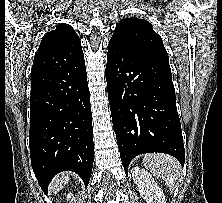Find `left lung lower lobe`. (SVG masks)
Here are the masks:
<instances>
[{"mask_svg": "<svg viewBox=\"0 0 222 203\" xmlns=\"http://www.w3.org/2000/svg\"><path fill=\"white\" fill-rule=\"evenodd\" d=\"M106 81L125 172L134 157L149 152L170 154L183 166L185 151L169 61L109 45Z\"/></svg>", "mask_w": 222, "mask_h": 203, "instance_id": "left-lung-lower-lobe-1", "label": "left lung lower lobe"}]
</instances>
